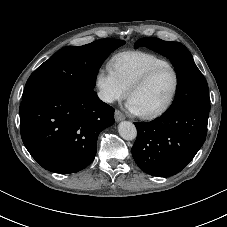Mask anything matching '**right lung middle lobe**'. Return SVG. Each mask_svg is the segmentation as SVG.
Wrapping results in <instances>:
<instances>
[{
	"label": "right lung middle lobe",
	"mask_w": 227,
	"mask_h": 227,
	"mask_svg": "<svg viewBox=\"0 0 227 227\" xmlns=\"http://www.w3.org/2000/svg\"><path fill=\"white\" fill-rule=\"evenodd\" d=\"M124 44L125 41L118 39H101L83 46L60 49L31 74L23 99L52 90L93 92L103 61Z\"/></svg>",
	"instance_id": "1"
}]
</instances>
